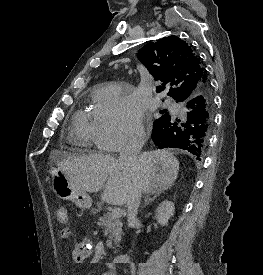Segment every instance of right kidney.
Returning <instances> with one entry per match:
<instances>
[{
  "instance_id": "1",
  "label": "right kidney",
  "mask_w": 263,
  "mask_h": 275,
  "mask_svg": "<svg viewBox=\"0 0 263 275\" xmlns=\"http://www.w3.org/2000/svg\"><path fill=\"white\" fill-rule=\"evenodd\" d=\"M174 203L165 200L159 204L156 209V220L159 224L165 226L174 214Z\"/></svg>"
}]
</instances>
